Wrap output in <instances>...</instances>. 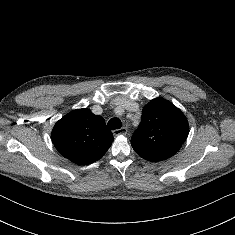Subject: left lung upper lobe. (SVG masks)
Listing matches in <instances>:
<instances>
[{"label": "left lung upper lobe", "instance_id": "obj_1", "mask_svg": "<svg viewBox=\"0 0 235 235\" xmlns=\"http://www.w3.org/2000/svg\"><path fill=\"white\" fill-rule=\"evenodd\" d=\"M188 133V121L182 111L168 100L156 98L143 108L131 145L142 158L161 161L181 148Z\"/></svg>", "mask_w": 235, "mask_h": 235}]
</instances>
